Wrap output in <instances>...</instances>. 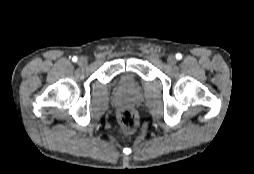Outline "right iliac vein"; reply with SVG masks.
Returning a JSON list of instances; mask_svg holds the SVG:
<instances>
[{
	"mask_svg": "<svg viewBox=\"0 0 254 174\" xmlns=\"http://www.w3.org/2000/svg\"><path fill=\"white\" fill-rule=\"evenodd\" d=\"M87 64H88L87 58H85V57H80V58L78 59V65H79V66L84 67V66H86Z\"/></svg>",
	"mask_w": 254,
	"mask_h": 174,
	"instance_id": "63e3f726",
	"label": "right iliac vein"
}]
</instances>
